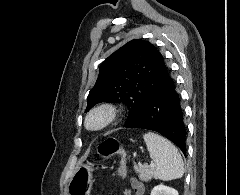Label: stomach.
Masks as SVG:
<instances>
[{
	"instance_id": "obj_1",
	"label": "stomach",
	"mask_w": 240,
	"mask_h": 195,
	"mask_svg": "<svg viewBox=\"0 0 240 195\" xmlns=\"http://www.w3.org/2000/svg\"><path fill=\"white\" fill-rule=\"evenodd\" d=\"M92 163H79L71 179L69 195H90L93 185Z\"/></svg>"
}]
</instances>
